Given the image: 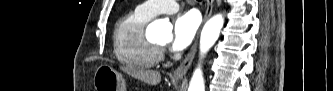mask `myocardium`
<instances>
[{"instance_id": "f54148a6", "label": "myocardium", "mask_w": 333, "mask_h": 91, "mask_svg": "<svg viewBox=\"0 0 333 91\" xmlns=\"http://www.w3.org/2000/svg\"><path fill=\"white\" fill-rule=\"evenodd\" d=\"M156 48H157V50H158V52H159V54H160V52L163 50V46L162 45H157V46H155Z\"/></svg>"}]
</instances>
